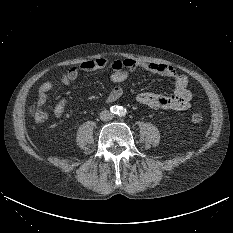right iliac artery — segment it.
<instances>
[{"label": "right iliac artery", "mask_w": 233, "mask_h": 233, "mask_svg": "<svg viewBox=\"0 0 233 233\" xmlns=\"http://www.w3.org/2000/svg\"><path fill=\"white\" fill-rule=\"evenodd\" d=\"M119 109H120L119 106H115V105L110 108L111 112L114 114H117L119 112Z\"/></svg>", "instance_id": "obj_1"}]
</instances>
